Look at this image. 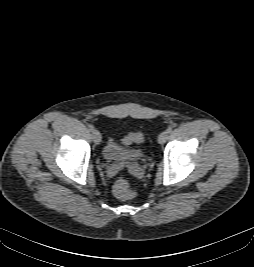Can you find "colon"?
<instances>
[{
    "label": "colon",
    "instance_id": "1",
    "mask_svg": "<svg viewBox=\"0 0 254 267\" xmlns=\"http://www.w3.org/2000/svg\"><path fill=\"white\" fill-rule=\"evenodd\" d=\"M143 140L144 135L140 132H137L127 135L124 138L123 143L125 145H130L132 143L142 142ZM113 192L120 199H131L135 195L133 189L131 188L130 182L125 178H121L116 181L113 186Z\"/></svg>",
    "mask_w": 254,
    "mask_h": 267
}]
</instances>
